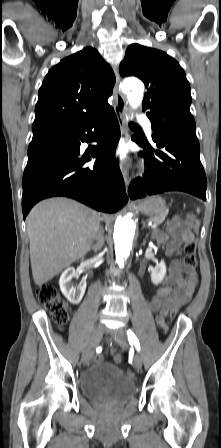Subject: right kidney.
<instances>
[{
    "label": "right kidney",
    "instance_id": "right-kidney-1",
    "mask_svg": "<svg viewBox=\"0 0 221 448\" xmlns=\"http://www.w3.org/2000/svg\"><path fill=\"white\" fill-rule=\"evenodd\" d=\"M79 275L80 274L73 267H68L63 271L59 279V286L62 294L74 305L80 303L86 290L85 280L80 282L77 290L73 286L72 279L78 278Z\"/></svg>",
    "mask_w": 221,
    "mask_h": 448
}]
</instances>
